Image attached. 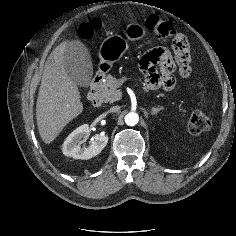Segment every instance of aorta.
<instances>
[{"label":"aorta","mask_w":236,"mask_h":236,"mask_svg":"<svg viewBox=\"0 0 236 236\" xmlns=\"http://www.w3.org/2000/svg\"><path fill=\"white\" fill-rule=\"evenodd\" d=\"M139 121V116L136 112H129L126 116H125V123L128 126H135Z\"/></svg>","instance_id":"obj_1"}]
</instances>
